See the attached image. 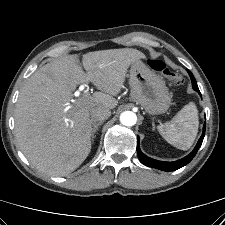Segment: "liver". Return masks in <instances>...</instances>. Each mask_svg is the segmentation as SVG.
Returning a JSON list of instances; mask_svg holds the SVG:
<instances>
[{
  "label": "liver",
  "mask_w": 225,
  "mask_h": 225,
  "mask_svg": "<svg viewBox=\"0 0 225 225\" xmlns=\"http://www.w3.org/2000/svg\"><path fill=\"white\" fill-rule=\"evenodd\" d=\"M146 56L132 48L86 53L83 67L77 55H66L35 71L22 87L15 109V133L20 150L39 171L65 176L77 169L91 151L93 107L113 109L129 66ZM97 87L88 102L72 103L79 84ZM69 108L67 109V107Z\"/></svg>",
  "instance_id": "1"
}]
</instances>
